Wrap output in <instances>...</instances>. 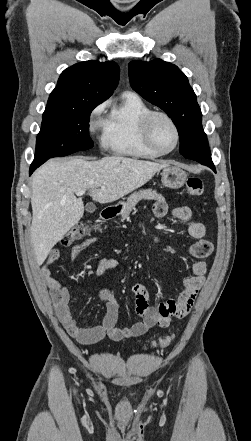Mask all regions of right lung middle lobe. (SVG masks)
<instances>
[{"label": "right lung middle lobe", "instance_id": "1", "mask_svg": "<svg viewBox=\"0 0 251 441\" xmlns=\"http://www.w3.org/2000/svg\"><path fill=\"white\" fill-rule=\"evenodd\" d=\"M103 101L91 97L74 105H47L37 136L35 158L49 159L92 148L89 117Z\"/></svg>", "mask_w": 251, "mask_h": 441}]
</instances>
